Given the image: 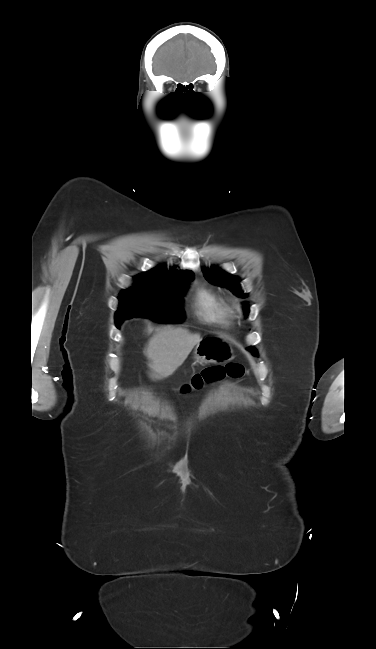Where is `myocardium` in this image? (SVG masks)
Segmentation results:
<instances>
[{
	"instance_id": "f54148a6",
	"label": "myocardium",
	"mask_w": 376,
	"mask_h": 649,
	"mask_svg": "<svg viewBox=\"0 0 376 649\" xmlns=\"http://www.w3.org/2000/svg\"><path fill=\"white\" fill-rule=\"evenodd\" d=\"M234 307H235V309L240 310V304L239 303L235 302Z\"/></svg>"
}]
</instances>
